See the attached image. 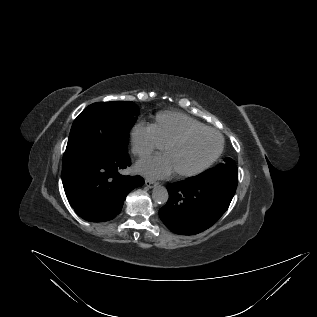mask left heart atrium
Returning a JSON list of instances; mask_svg holds the SVG:
<instances>
[{
    "label": "left heart atrium",
    "mask_w": 317,
    "mask_h": 317,
    "mask_svg": "<svg viewBox=\"0 0 317 317\" xmlns=\"http://www.w3.org/2000/svg\"><path fill=\"white\" fill-rule=\"evenodd\" d=\"M136 168L141 173L159 178L166 177L173 172L165 154L145 159L139 162Z\"/></svg>",
    "instance_id": "left-heart-atrium-1"
}]
</instances>
